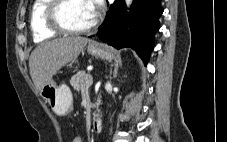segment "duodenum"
I'll list each match as a JSON object with an SVG mask.
<instances>
[{
  "label": "duodenum",
  "mask_w": 227,
  "mask_h": 142,
  "mask_svg": "<svg viewBox=\"0 0 227 142\" xmlns=\"http://www.w3.org/2000/svg\"><path fill=\"white\" fill-rule=\"evenodd\" d=\"M102 129V119L100 117H95L92 122V130L95 133H99Z\"/></svg>",
  "instance_id": "1"
}]
</instances>
